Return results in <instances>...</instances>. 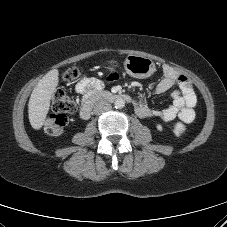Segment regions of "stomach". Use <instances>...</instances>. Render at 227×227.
I'll list each match as a JSON object with an SVG mask.
<instances>
[{"label":"stomach","mask_w":227,"mask_h":227,"mask_svg":"<svg viewBox=\"0 0 227 227\" xmlns=\"http://www.w3.org/2000/svg\"><path fill=\"white\" fill-rule=\"evenodd\" d=\"M115 67L116 61L110 60L107 68L113 70ZM124 68L127 74L139 79L148 78L156 71L155 63L150 58L141 55H128Z\"/></svg>","instance_id":"obj_1"}]
</instances>
